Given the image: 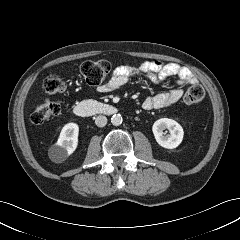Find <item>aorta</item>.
<instances>
[{
  "label": "aorta",
  "instance_id": "1",
  "mask_svg": "<svg viewBox=\"0 0 240 240\" xmlns=\"http://www.w3.org/2000/svg\"><path fill=\"white\" fill-rule=\"evenodd\" d=\"M111 123L114 126H119L122 124V116L120 114H115L111 117Z\"/></svg>",
  "mask_w": 240,
  "mask_h": 240
}]
</instances>
